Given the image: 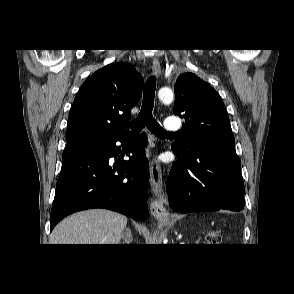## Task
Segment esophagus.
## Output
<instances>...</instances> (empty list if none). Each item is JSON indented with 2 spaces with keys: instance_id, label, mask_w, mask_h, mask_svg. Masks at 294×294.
I'll list each match as a JSON object with an SVG mask.
<instances>
[{
  "instance_id": "obj_1",
  "label": "esophagus",
  "mask_w": 294,
  "mask_h": 294,
  "mask_svg": "<svg viewBox=\"0 0 294 294\" xmlns=\"http://www.w3.org/2000/svg\"><path fill=\"white\" fill-rule=\"evenodd\" d=\"M152 70L156 77L161 73L160 62L157 58H153ZM150 184L153 193V200L150 203V212L155 219H162L166 214V197L162 188V171L160 164L152 159L150 164Z\"/></svg>"
}]
</instances>
